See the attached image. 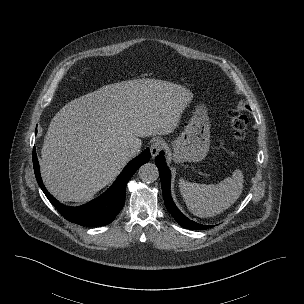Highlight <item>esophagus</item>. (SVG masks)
<instances>
[{
  "label": "esophagus",
  "mask_w": 304,
  "mask_h": 304,
  "mask_svg": "<svg viewBox=\"0 0 304 304\" xmlns=\"http://www.w3.org/2000/svg\"><path fill=\"white\" fill-rule=\"evenodd\" d=\"M164 147V142L161 139H155L150 145V153L154 158Z\"/></svg>",
  "instance_id": "34e87169"
}]
</instances>
